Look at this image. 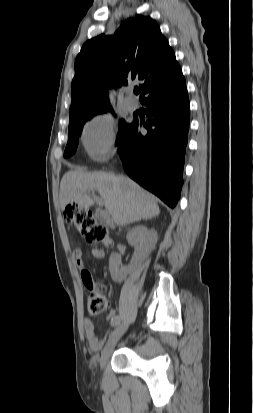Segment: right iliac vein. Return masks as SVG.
I'll use <instances>...</instances> for the list:
<instances>
[{"label":"right iliac vein","mask_w":253,"mask_h":413,"mask_svg":"<svg viewBox=\"0 0 253 413\" xmlns=\"http://www.w3.org/2000/svg\"><path fill=\"white\" fill-rule=\"evenodd\" d=\"M128 328L127 324H120L118 325L114 331L111 333L108 342L104 348V350L102 351L101 354V358H100V365L101 367H104L108 361V359L110 358L117 342L119 341V339L121 338V336L126 332Z\"/></svg>","instance_id":"right-iliac-vein-1"}]
</instances>
